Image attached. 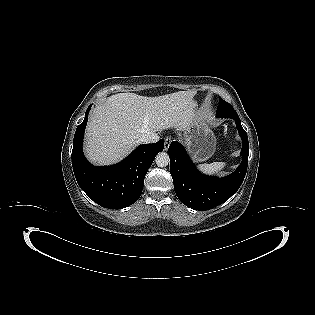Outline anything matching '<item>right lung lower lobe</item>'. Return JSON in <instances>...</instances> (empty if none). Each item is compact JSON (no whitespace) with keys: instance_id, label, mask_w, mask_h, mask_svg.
<instances>
[{"instance_id":"right-lung-lower-lobe-1","label":"right lung lower lobe","mask_w":315,"mask_h":315,"mask_svg":"<svg viewBox=\"0 0 315 315\" xmlns=\"http://www.w3.org/2000/svg\"><path fill=\"white\" fill-rule=\"evenodd\" d=\"M77 127L72 150V166L80 188L97 204L121 209L136 202L143 190L144 177L157 153L164 148V139L137 147L127 158L110 167L90 164L82 151L88 113Z\"/></svg>"}]
</instances>
